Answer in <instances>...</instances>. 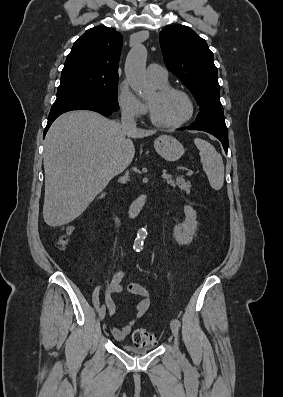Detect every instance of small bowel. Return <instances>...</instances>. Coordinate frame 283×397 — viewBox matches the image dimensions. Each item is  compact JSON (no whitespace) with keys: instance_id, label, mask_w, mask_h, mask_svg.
<instances>
[{"instance_id":"small-bowel-1","label":"small bowel","mask_w":283,"mask_h":397,"mask_svg":"<svg viewBox=\"0 0 283 397\" xmlns=\"http://www.w3.org/2000/svg\"><path fill=\"white\" fill-rule=\"evenodd\" d=\"M123 276V270L116 271L107 287L106 304L109 315L113 316L116 312V305L111 297L113 294L128 292L138 296L139 300L134 305V313L132 314L130 321L123 327H114L112 329V334L118 341H122L127 337L134 324L149 310L151 305L150 292L148 288L135 282L123 283Z\"/></svg>"}]
</instances>
